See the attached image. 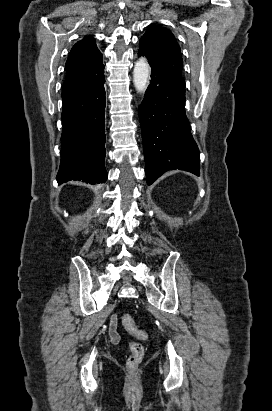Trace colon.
Instances as JSON below:
<instances>
[{
	"label": "colon",
	"mask_w": 272,
	"mask_h": 411,
	"mask_svg": "<svg viewBox=\"0 0 272 411\" xmlns=\"http://www.w3.org/2000/svg\"><path fill=\"white\" fill-rule=\"evenodd\" d=\"M122 325L130 334L138 338H146L147 336L146 332L136 325L134 319L129 314L122 316ZM129 349L131 353L127 359L126 366L128 370L134 371L138 368L144 357V347L138 342H131Z\"/></svg>",
	"instance_id": "obj_1"
}]
</instances>
